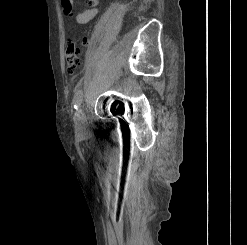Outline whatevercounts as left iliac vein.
<instances>
[{"label": "left iliac vein", "mask_w": 247, "mask_h": 245, "mask_svg": "<svg viewBox=\"0 0 247 245\" xmlns=\"http://www.w3.org/2000/svg\"><path fill=\"white\" fill-rule=\"evenodd\" d=\"M76 130L81 132L86 128V119L82 109L79 110L78 117L75 122Z\"/></svg>", "instance_id": "4c4485c4"}]
</instances>
